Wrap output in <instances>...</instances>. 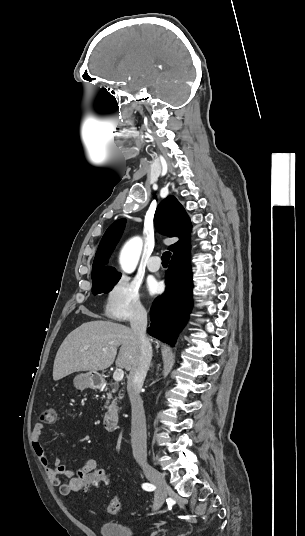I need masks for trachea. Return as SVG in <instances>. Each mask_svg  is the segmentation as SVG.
I'll list each match as a JSON object with an SVG mask.
<instances>
[{"label": "trachea", "mask_w": 305, "mask_h": 536, "mask_svg": "<svg viewBox=\"0 0 305 536\" xmlns=\"http://www.w3.org/2000/svg\"><path fill=\"white\" fill-rule=\"evenodd\" d=\"M170 257H171V252L165 251L162 255V263H169Z\"/></svg>", "instance_id": "3493384b"}]
</instances>
